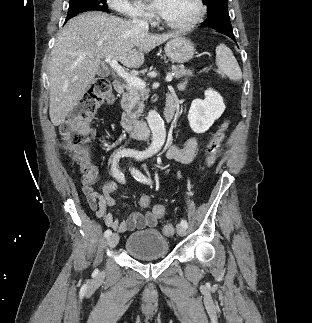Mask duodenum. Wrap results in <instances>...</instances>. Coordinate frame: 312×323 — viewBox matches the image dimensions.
<instances>
[{"label": "duodenum", "mask_w": 312, "mask_h": 323, "mask_svg": "<svg viewBox=\"0 0 312 323\" xmlns=\"http://www.w3.org/2000/svg\"><path fill=\"white\" fill-rule=\"evenodd\" d=\"M125 81L123 78H117L113 82V88L119 94L125 93ZM126 100H123V106H125ZM177 112V101L173 94H169L166 99V104L163 109V116L167 122H171ZM121 125L122 127L130 132L136 139H143L145 138L148 133L149 129L145 122L138 120L129 112L123 111L121 115Z\"/></svg>", "instance_id": "410a0bca"}]
</instances>
